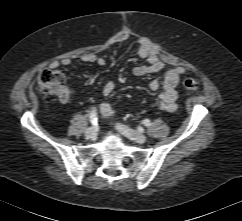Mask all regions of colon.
Here are the masks:
<instances>
[{"label":"colon","mask_w":242,"mask_h":221,"mask_svg":"<svg viewBox=\"0 0 242 221\" xmlns=\"http://www.w3.org/2000/svg\"><path fill=\"white\" fill-rule=\"evenodd\" d=\"M182 84L187 90H195L199 87V82L191 77L184 78ZM37 87L42 93L56 95L61 100H65L68 96L65 76L57 69L42 70L37 78Z\"/></svg>","instance_id":"colon-1"}]
</instances>
